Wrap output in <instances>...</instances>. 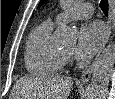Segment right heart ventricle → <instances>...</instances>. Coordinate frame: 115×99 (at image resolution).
Masks as SVG:
<instances>
[{
  "label": "right heart ventricle",
  "mask_w": 115,
  "mask_h": 99,
  "mask_svg": "<svg viewBox=\"0 0 115 99\" xmlns=\"http://www.w3.org/2000/svg\"><path fill=\"white\" fill-rule=\"evenodd\" d=\"M54 24L45 21L29 35L25 47V64L34 75L49 76L60 72L66 62L62 51L52 43Z\"/></svg>",
  "instance_id": "right-heart-ventricle-1"
}]
</instances>
